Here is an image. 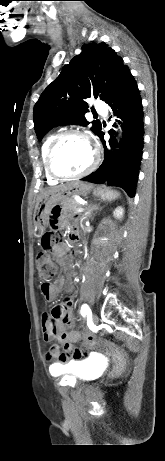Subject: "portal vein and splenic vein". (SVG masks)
<instances>
[{
  "instance_id": "portal-vein-and-splenic-vein-1",
  "label": "portal vein and splenic vein",
  "mask_w": 165,
  "mask_h": 461,
  "mask_svg": "<svg viewBox=\"0 0 165 461\" xmlns=\"http://www.w3.org/2000/svg\"><path fill=\"white\" fill-rule=\"evenodd\" d=\"M77 201H78V203H80L81 205H85V202H84V201H81V200H77ZM83 210H84V208L80 206L76 211H77V212H82Z\"/></svg>"
}]
</instances>
